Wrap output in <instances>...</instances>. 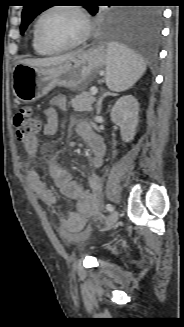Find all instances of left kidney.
<instances>
[{
    "mask_svg": "<svg viewBox=\"0 0 184 327\" xmlns=\"http://www.w3.org/2000/svg\"><path fill=\"white\" fill-rule=\"evenodd\" d=\"M138 113L139 103L132 95L118 99L111 110V119L120 127L124 142H130L134 139L139 120Z\"/></svg>",
    "mask_w": 184,
    "mask_h": 327,
    "instance_id": "1",
    "label": "left kidney"
}]
</instances>
